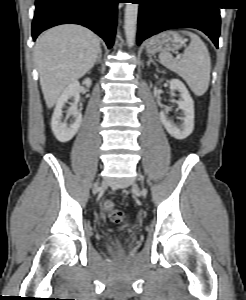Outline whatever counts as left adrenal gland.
Returning a JSON list of instances; mask_svg holds the SVG:
<instances>
[{
    "instance_id": "left-adrenal-gland-1",
    "label": "left adrenal gland",
    "mask_w": 246,
    "mask_h": 300,
    "mask_svg": "<svg viewBox=\"0 0 246 300\" xmlns=\"http://www.w3.org/2000/svg\"><path fill=\"white\" fill-rule=\"evenodd\" d=\"M151 63H153V65H155L156 66V63H155V61L152 59V57L151 56H149V61L147 62V65L148 66H150V64Z\"/></svg>"
}]
</instances>
